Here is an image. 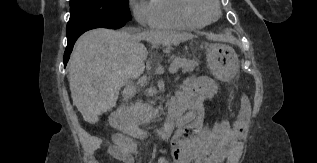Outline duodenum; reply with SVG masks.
<instances>
[{"instance_id":"duodenum-1","label":"duodenum","mask_w":317,"mask_h":163,"mask_svg":"<svg viewBox=\"0 0 317 163\" xmlns=\"http://www.w3.org/2000/svg\"><path fill=\"white\" fill-rule=\"evenodd\" d=\"M177 115L173 112H169L163 126L154 132L156 139L165 141L172 135L173 127L176 121ZM111 126L124 134L125 136H134L137 138L147 137L146 133L137 125H135L128 117L125 107H121L114 111L110 117ZM127 138H120L118 143L114 145V148H118L119 144Z\"/></svg>"}]
</instances>
